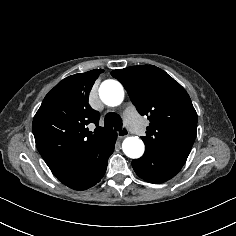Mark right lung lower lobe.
Here are the masks:
<instances>
[{"label": "right lung lower lobe", "mask_w": 236, "mask_h": 236, "mask_svg": "<svg viewBox=\"0 0 236 236\" xmlns=\"http://www.w3.org/2000/svg\"><path fill=\"white\" fill-rule=\"evenodd\" d=\"M117 134L88 153L84 158L51 168L52 173L66 186L85 190L94 186L104 176L108 158L113 153Z\"/></svg>", "instance_id": "obj_1"}]
</instances>
